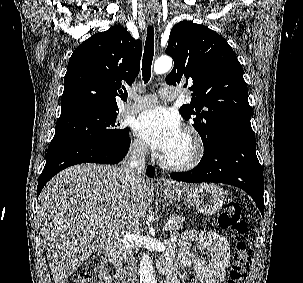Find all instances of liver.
<instances>
[{
    "mask_svg": "<svg viewBox=\"0 0 303 283\" xmlns=\"http://www.w3.org/2000/svg\"><path fill=\"white\" fill-rule=\"evenodd\" d=\"M164 184L173 191L188 186ZM153 190L143 176L127 182L114 165L80 164L52 178L39 196L38 220L54 283H65L92 253L109 250L120 229L146 213Z\"/></svg>",
    "mask_w": 303,
    "mask_h": 283,
    "instance_id": "obj_1",
    "label": "liver"
}]
</instances>
